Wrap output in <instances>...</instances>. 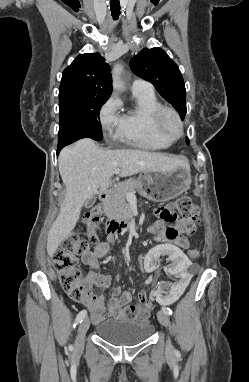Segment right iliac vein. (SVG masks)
<instances>
[{
    "instance_id": "right-iliac-vein-1",
    "label": "right iliac vein",
    "mask_w": 249,
    "mask_h": 382,
    "mask_svg": "<svg viewBox=\"0 0 249 382\" xmlns=\"http://www.w3.org/2000/svg\"><path fill=\"white\" fill-rule=\"evenodd\" d=\"M90 321L88 318H85L79 326L78 334L76 338L75 348L80 350L84 344V338L87 330L89 329Z\"/></svg>"
}]
</instances>
